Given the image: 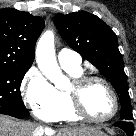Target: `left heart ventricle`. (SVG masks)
<instances>
[{"label":"left heart ventricle","mask_w":136,"mask_h":136,"mask_svg":"<svg viewBox=\"0 0 136 136\" xmlns=\"http://www.w3.org/2000/svg\"><path fill=\"white\" fill-rule=\"evenodd\" d=\"M84 105L89 115L98 119L109 116L113 110L112 97L101 83H93L87 88Z\"/></svg>","instance_id":"obj_1"}]
</instances>
